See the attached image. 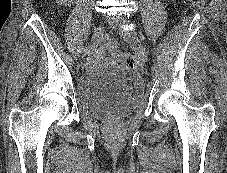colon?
<instances>
[{
  "instance_id": "1",
  "label": "colon",
  "mask_w": 227,
  "mask_h": 173,
  "mask_svg": "<svg viewBox=\"0 0 227 173\" xmlns=\"http://www.w3.org/2000/svg\"><path fill=\"white\" fill-rule=\"evenodd\" d=\"M206 1L207 0H186V2L191 6H200ZM108 49L116 59L122 61L131 68L136 67V59L130 53L119 50L118 43L116 41H110L108 44Z\"/></svg>"
}]
</instances>
